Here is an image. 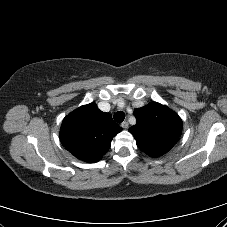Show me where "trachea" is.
Segmentation results:
<instances>
[{
    "label": "trachea",
    "instance_id": "obj_1",
    "mask_svg": "<svg viewBox=\"0 0 227 227\" xmlns=\"http://www.w3.org/2000/svg\"><path fill=\"white\" fill-rule=\"evenodd\" d=\"M125 119V113L123 111H118L114 114V120L118 123Z\"/></svg>",
    "mask_w": 227,
    "mask_h": 227
}]
</instances>
